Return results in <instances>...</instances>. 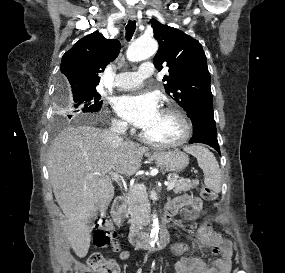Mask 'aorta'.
I'll return each instance as SVG.
<instances>
[{
	"mask_svg": "<svg viewBox=\"0 0 285 273\" xmlns=\"http://www.w3.org/2000/svg\"><path fill=\"white\" fill-rule=\"evenodd\" d=\"M158 50L157 42L152 38H140L133 42L127 50V59L131 62H138L153 56ZM159 222L156 216L153 217L150 233V246L154 247L159 234Z\"/></svg>",
	"mask_w": 285,
	"mask_h": 273,
	"instance_id": "obj_1",
	"label": "aorta"
}]
</instances>
